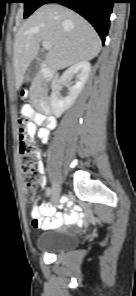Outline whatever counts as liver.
<instances>
[{
  "label": "liver",
  "mask_w": 136,
  "mask_h": 296,
  "mask_svg": "<svg viewBox=\"0 0 136 296\" xmlns=\"http://www.w3.org/2000/svg\"><path fill=\"white\" fill-rule=\"evenodd\" d=\"M41 41H48L52 46L47 55L51 72L89 61L101 50L99 35L82 16L56 3L45 4L26 20L15 36L13 64L17 90L38 54Z\"/></svg>",
  "instance_id": "obj_1"
}]
</instances>
